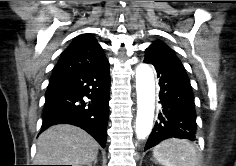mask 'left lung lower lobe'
<instances>
[{
	"label": "left lung lower lobe",
	"instance_id": "obj_1",
	"mask_svg": "<svg viewBox=\"0 0 236 166\" xmlns=\"http://www.w3.org/2000/svg\"><path fill=\"white\" fill-rule=\"evenodd\" d=\"M152 63L159 78L161 110L148 138L145 151L164 139L175 137L196 140L197 123L194 95L189 78L179 59Z\"/></svg>",
	"mask_w": 236,
	"mask_h": 166
}]
</instances>
